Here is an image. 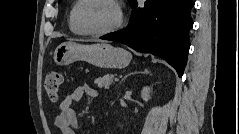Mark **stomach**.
Wrapping results in <instances>:
<instances>
[{
    "instance_id": "0dacf381",
    "label": "stomach",
    "mask_w": 239,
    "mask_h": 134,
    "mask_svg": "<svg viewBox=\"0 0 239 134\" xmlns=\"http://www.w3.org/2000/svg\"><path fill=\"white\" fill-rule=\"evenodd\" d=\"M57 65H69L82 60L99 68L122 69L129 65L132 56L123 48L108 43L79 44L65 42L57 46L53 53Z\"/></svg>"
}]
</instances>
